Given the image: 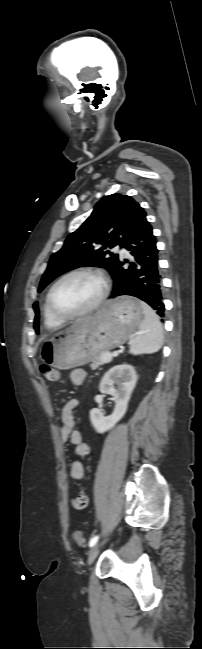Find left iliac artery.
Instances as JSON below:
<instances>
[{"instance_id":"obj_1","label":"left iliac artery","mask_w":202,"mask_h":649,"mask_svg":"<svg viewBox=\"0 0 202 649\" xmlns=\"http://www.w3.org/2000/svg\"><path fill=\"white\" fill-rule=\"evenodd\" d=\"M98 539H99V536H98V535L92 537L91 540H90V542H89V546H90V547H93V546L97 543Z\"/></svg>"}]
</instances>
